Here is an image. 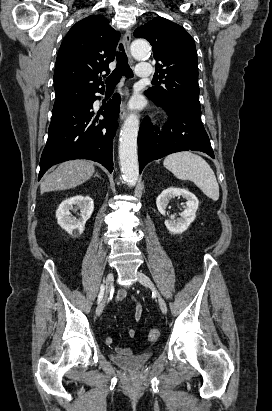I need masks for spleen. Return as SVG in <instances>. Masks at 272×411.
<instances>
[{
  "label": "spleen",
  "instance_id": "1",
  "mask_svg": "<svg viewBox=\"0 0 272 411\" xmlns=\"http://www.w3.org/2000/svg\"><path fill=\"white\" fill-rule=\"evenodd\" d=\"M163 165L180 180H190L212 199H219V185L209 164L201 157L188 151L168 155Z\"/></svg>",
  "mask_w": 272,
  "mask_h": 411
}]
</instances>
